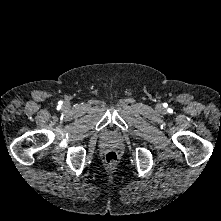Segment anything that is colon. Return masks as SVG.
I'll return each instance as SVG.
<instances>
[{
    "mask_svg": "<svg viewBox=\"0 0 221 221\" xmlns=\"http://www.w3.org/2000/svg\"><path fill=\"white\" fill-rule=\"evenodd\" d=\"M118 158L116 153L109 151L105 154L104 162L107 168L113 169L117 164Z\"/></svg>",
    "mask_w": 221,
    "mask_h": 221,
    "instance_id": "colon-1",
    "label": "colon"
}]
</instances>
